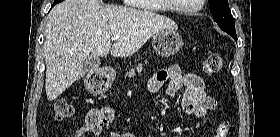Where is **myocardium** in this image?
I'll use <instances>...</instances> for the list:
<instances>
[{
  "instance_id": "myocardium-1",
  "label": "myocardium",
  "mask_w": 280,
  "mask_h": 137,
  "mask_svg": "<svg viewBox=\"0 0 280 137\" xmlns=\"http://www.w3.org/2000/svg\"><path fill=\"white\" fill-rule=\"evenodd\" d=\"M204 0H198V5L194 8H178L176 6L168 5V7L173 11L177 13H185V14H193L199 12L203 7Z\"/></svg>"
}]
</instances>
